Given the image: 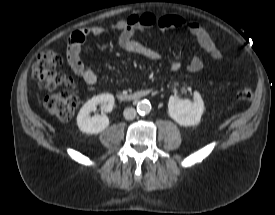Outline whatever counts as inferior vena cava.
<instances>
[{"label": "inferior vena cava", "mask_w": 275, "mask_h": 215, "mask_svg": "<svg viewBox=\"0 0 275 215\" xmlns=\"http://www.w3.org/2000/svg\"><path fill=\"white\" fill-rule=\"evenodd\" d=\"M123 115L125 119L132 120L136 117V110L134 108H126Z\"/></svg>", "instance_id": "obj_1"}]
</instances>
